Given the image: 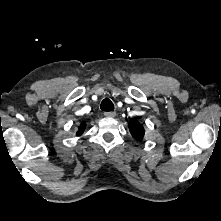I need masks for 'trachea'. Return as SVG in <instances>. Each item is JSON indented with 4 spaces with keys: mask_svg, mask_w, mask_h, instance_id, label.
Returning a JSON list of instances; mask_svg holds the SVG:
<instances>
[{
    "mask_svg": "<svg viewBox=\"0 0 221 221\" xmlns=\"http://www.w3.org/2000/svg\"><path fill=\"white\" fill-rule=\"evenodd\" d=\"M101 110L106 111V112H110L114 110V105L112 103V101L110 99H104L101 102Z\"/></svg>",
    "mask_w": 221,
    "mask_h": 221,
    "instance_id": "trachea-1",
    "label": "trachea"
}]
</instances>
